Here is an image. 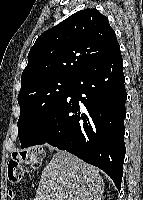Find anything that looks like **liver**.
<instances>
[{
	"label": "liver",
	"mask_w": 143,
	"mask_h": 200,
	"mask_svg": "<svg viewBox=\"0 0 143 200\" xmlns=\"http://www.w3.org/2000/svg\"><path fill=\"white\" fill-rule=\"evenodd\" d=\"M104 188L96 167L58 151L42 171L34 200H101Z\"/></svg>",
	"instance_id": "1"
}]
</instances>
